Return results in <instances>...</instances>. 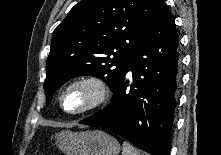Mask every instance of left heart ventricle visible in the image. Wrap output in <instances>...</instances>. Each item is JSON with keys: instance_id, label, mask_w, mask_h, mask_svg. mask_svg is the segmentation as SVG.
Here are the masks:
<instances>
[{"instance_id": "left-heart-ventricle-1", "label": "left heart ventricle", "mask_w": 221, "mask_h": 155, "mask_svg": "<svg viewBox=\"0 0 221 155\" xmlns=\"http://www.w3.org/2000/svg\"><path fill=\"white\" fill-rule=\"evenodd\" d=\"M89 101V92L83 88L70 90L64 97V106L67 110H77Z\"/></svg>"}]
</instances>
